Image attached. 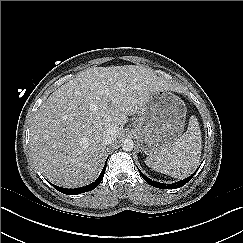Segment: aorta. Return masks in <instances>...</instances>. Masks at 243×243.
Listing matches in <instances>:
<instances>
[{
    "mask_svg": "<svg viewBox=\"0 0 243 243\" xmlns=\"http://www.w3.org/2000/svg\"><path fill=\"white\" fill-rule=\"evenodd\" d=\"M121 146L124 151H132L134 148V142L132 139L126 138L122 141Z\"/></svg>",
    "mask_w": 243,
    "mask_h": 243,
    "instance_id": "762f6f07",
    "label": "aorta"
}]
</instances>
